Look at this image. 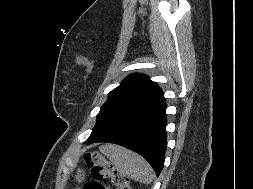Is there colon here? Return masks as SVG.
<instances>
[{
    "mask_svg": "<svg viewBox=\"0 0 253 189\" xmlns=\"http://www.w3.org/2000/svg\"><path fill=\"white\" fill-rule=\"evenodd\" d=\"M93 179L87 182L84 189H110L103 184L108 180L113 189H132L130 179L116 170L113 163L97 152L84 155ZM77 179H83V173L77 174Z\"/></svg>",
    "mask_w": 253,
    "mask_h": 189,
    "instance_id": "obj_1",
    "label": "colon"
}]
</instances>
